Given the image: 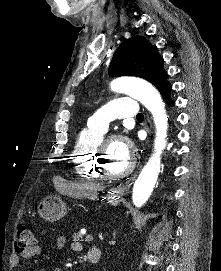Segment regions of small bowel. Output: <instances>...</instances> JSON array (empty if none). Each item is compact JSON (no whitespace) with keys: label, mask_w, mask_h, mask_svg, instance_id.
<instances>
[{"label":"small bowel","mask_w":221,"mask_h":271,"mask_svg":"<svg viewBox=\"0 0 221 271\" xmlns=\"http://www.w3.org/2000/svg\"><path fill=\"white\" fill-rule=\"evenodd\" d=\"M55 246L57 249H63L66 246V239L63 236L58 237L55 240ZM71 249L76 252L82 251L83 247L79 241H73L70 245ZM93 249L89 251V255ZM41 252V248L38 245L30 246L23 250L20 254L15 253L11 256L10 263L13 267L19 265L21 258L29 259ZM56 271H60V269H56Z\"/></svg>","instance_id":"obj_1"}]
</instances>
